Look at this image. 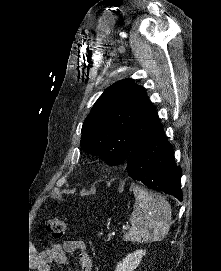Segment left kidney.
<instances>
[{
  "label": "left kidney",
  "mask_w": 221,
  "mask_h": 271,
  "mask_svg": "<svg viewBox=\"0 0 221 271\" xmlns=\"http://www.w3.org/2000/svg\"><path fill=\"white\" fill-rule=\"evenodd\" d=\"M145 253V249H136L133 253H127L126 257L117 263L114 271H134L140 261H142V257Z\"/></svg>",
  "instance_id": "obj_1"
}]
</instances>
